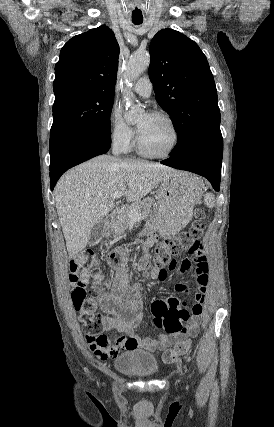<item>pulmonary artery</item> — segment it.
I'll return each mask as SVG.
<instances>
[{"label":"pulmonary artery","instance_id":"pulmonary-artery-1","mask_svg":"<svg viewBox=\"0 0 274 427\" xmlns=\"http://www.w3.org/2000/svg\"><path fill=\"white\" fill-rule=\"evenodd\" d=\"M133 90L139 96L148 98L152 93V83L147 76H144L134 84Z\"/></svg>","mask_w":274,"mask_h":427}]
</instances>
